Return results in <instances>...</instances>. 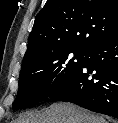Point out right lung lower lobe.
Returning <instances> with one entry per match:
<instances>
[{"instance_id":"1","label":"right lung lower lobe","mask_w":118,"mask_h":123,"mask_svg":"<svg viewBox=\"0 0 118 123\" xmlns=\"http://www.w3.org/2000/svg\"><path fill=\"white\" fill-rule=\"evenodd\" d=\"M48 98L118 119V37L90 49L77 73Z\"/></svg>"}]
</instances>
